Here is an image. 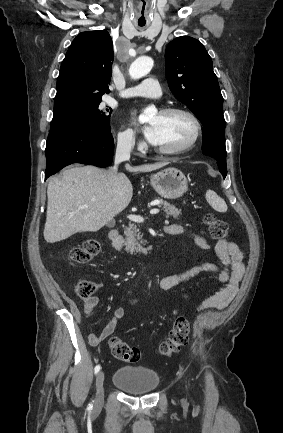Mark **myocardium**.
Returning <instances> with one entry per match:
<instances>
[{
	"mask_svg": "<svg viewBox=\"0 0 283 433\" xmlns=\"http://www.w3.org/2000/svg\"><path fill=\"white\" fill-rule=\"evenodd\" d=\"M184 114L188 116L194 123V134L190 141L183 147L176 150H159V153L166 157H178L189 153L199 142L203 134V124L200 118L190 109L181 106H169L165 107L160 111V114L172 115V114Z\"/></svg>",
	"mask_w": 283,
	"mask_h": 433,
	"instance_id": "1",
	"label": "myocardium"
}]
</instances>
